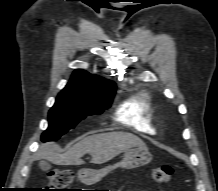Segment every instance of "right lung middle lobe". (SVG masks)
Instances as JSON below:
<instances>
[{
	"instance_id": "dd1d6c3e",
	"label": "right lung middle lobe",
	"mask_w": 218,
	"mask_h": 191,
	"mask_svg": "<svg viewBox=\"0 0 218 191\" xmlns=\"http://www.w3.org/2000/svg\"><path fill=\"white\" fill-rule=\"evenodd\" d=\"M112 99L113 96L89 98L61 92L49 111V126L42 134V141L57 140L61 135L73 129L86 116L100 114L109 108Z\"/></svg>"
}]
</instances>
